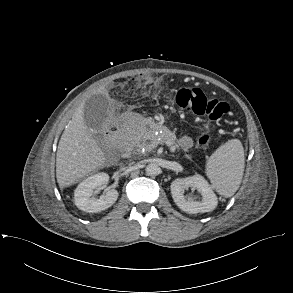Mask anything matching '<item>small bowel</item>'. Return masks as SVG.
Returning <instances> with one entry per match:
<instances>
[{
    "label": "small bowel",
    "mask_w": 293,
    "mask_h": 293,
    "mask_svg": "<svg viewBox=\"0 0 293 293\" xmlns=\"http://www.w3.org/2000/svg\"><path fill=\"white\" fill-rule=\"evenodd\" d=\"M145 82L148 85L153 84V80L150 77H146ZM179 144L184 150H188L192 146V141L189 137H183L180 139Z\"/></svg>",
    "instance_id": "obj_1"
}]
</instances>
